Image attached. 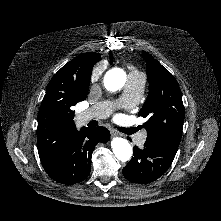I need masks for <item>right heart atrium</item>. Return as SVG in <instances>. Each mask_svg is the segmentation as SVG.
Returning <instances> with one entry per match:
<instances>
[{
  "label": "right heart atrium",
  "mask_w": 221,
  "mask_h": 221,
  "mask_svg": "<svg viewBox=\"0 0 221 221\" xmlns=\"http://www.w3.org/2000/svg\"><path fill=\"white\" fill-rule=\"evenodd\" d=\"M103 73V67L101 65L96 66L91 73L90 80L91 83L98 81Z\"/></svg>",
  "instance_id": "obj_1"
}]
</instances>
